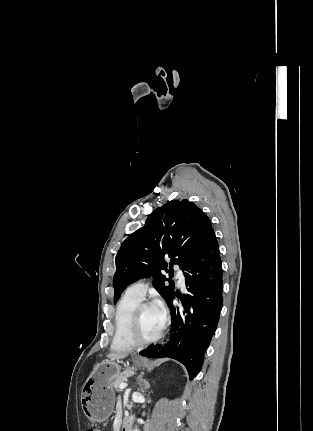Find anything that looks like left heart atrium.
I'll return each mask as SVG.
<instances>
[{
	"instance_id": "left-heart-atrium-1",
	"label": "left heart atrium",
	"mask_w": 313,
	"mask_h": 431,
	"mask_svg": "<svg viewBox=\"0 0 313 431\" xmlns=\"http://www.w3.org/2000/svg\"><path fill=\"white\" fill-rule=\"evenodd\" d=\"M151 307L153 308L157 319H158V324L160 329L164 326L165 321H166V310H165V306L163 304V302L160 299H157L153 302V304L151 305Z\"/></svg>"
}]
</instances>
